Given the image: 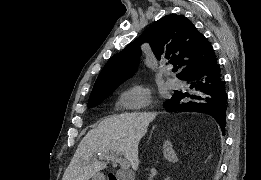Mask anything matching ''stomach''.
<instances>
[{"mask_svg": "<svg viewBox=\"0 0 261 180\" xmlns=\"http://www.w3.org/2000/svg\"><path fill=\"white\" fill-rule=\"evenodd\" d=\"M91 180H105V176L102 173H96L92 176Z\"/></svg>", "mask_w": 261, "mask_h": 180, "instance_id": "stomach-1", "label": "stomach"}]
</instances>
